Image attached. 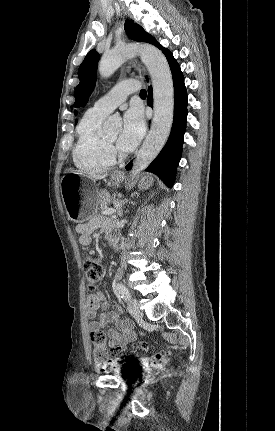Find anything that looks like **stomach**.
<instances>
[{"label":"stomach","instance_id":"obj_1","mask_svg":"<svg viewBox=\"0 0 275 431\" xmlns=\"http://www.w3.org/2000/svg\"><path fill=\"white\" fill-rule=\"evenodd\" d=\"M88 180V176L74 172L67 173L61 179L60 190L67 216L76 223L85 222L96 210L97 193L85 184ZM111 181L112 184L119 185L122 178L112 176ZM152 182L151 177H144L140 186L148 187Z\"/></svg>","mask_w":275,"mask_h":431}]
</instances>
